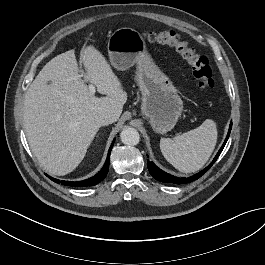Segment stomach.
I'll return each mask as SVG.
<instances>
[{"label": "stomach", "mask_w": 265, "mask_h": 265, "mask_svg": "<svg viewBox=\"0 0 265 265\" xmlns=\"http://www.w3.org/2000/svg\"><path fill=\"white\" fill-rule=\"evenodd\" d=\"M111 65L126 70L136 64V81L142 94L141 113L154 131L165 133L174 128L183 110V102L172 81L154 63L141 34L132 28H120L108 40Z\"/></svg>", "instance_id": "0dacf381"}]
</instances>
